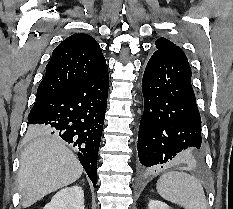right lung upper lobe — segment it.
<instances>
[{"mask_svg": "<svg viewBox=\"0 0 233 209\" xmlns=\"http://www.w3.org/2000/svg\"><path fill=\"white\" fill-rule=\"evenodd\" d=\"M99 44L87 34H73L53 51L36 100L77 85L105 68Z\"/></svg>", "mask_w": 233, "mask_h": 209, "instance_id": "obj_1", "label": "right lung upper lobe"}]
</instances>
